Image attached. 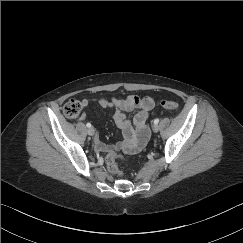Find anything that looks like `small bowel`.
<instances>
[{
	"mask_svg": "<svg viewBox=\"0 0 243 243\" xmlns=\"http://www.w3.org/2000/svg\"><path fill=\"white\" fill-rule=\"evenodd\" d=\"M97 103L102 108L113 109V120L122 132L123 139L115 144H105L98 137L94 139V146L97 151L110 154L117 151L135 153L140 151L148 139V129L146 126L150 112L154 108V100L151 97H140L128 95L121 98H85L82 100L84 106L90 103ZM135 112L133 127L129 114ZM86 118L83 113L81 120Z\"/></svg>",
	"mask_w": 243,
	"mask_h": 243,
	"instance_id": "c3829d8e",
	"label": "small bowel"
}]
</instances>
